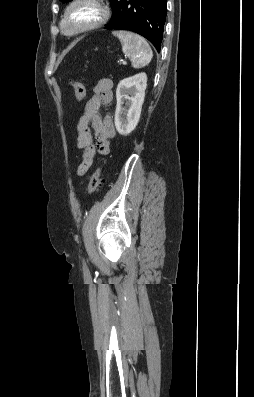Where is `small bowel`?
I'll use <instances>...</instances> for the list:
<instances>
[{
	"label": "small bowel",
	"instance_id": "small-bowel-1",
	"mask_svg": "<svg viewBox=\"0 0 254 397\" xmlns=\"http://www.w3.org/2000/svg\"><path fill=\"white\" fill-rule=\"evenodd\" d=\"M112 87L113 82L110 79L99 80L79 118L76 145L82 150V155L77 167L78 176H84L89 171L97 152L105 155L110 151V140L115 136V127L111 115L101 116L100 107L112 101ZM91 129L94 130L95 143Z\"/></svg>",
	"mask_w": 254,
	"mask_h": 397
}]
</instances>
